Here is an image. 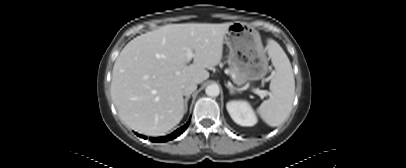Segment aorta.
Listing matches in <instances>:
<instances>
[{
    "mask_svg": "<svg viewBox=\"0 0 406 168\" xmlns=\"http://www.w3.org/2000/svg\"><path fill=\"white\" fill-rule=\"evenodd\" d=\"M205 91L210 97H217L220 93L219 87L216 84L207 86Z\"/></svg>",
    "mask_w": 406,
    "mask_h": 168,
    "instance_id": "aorta-1",
    "label": "aorta"
}]
</instances>
